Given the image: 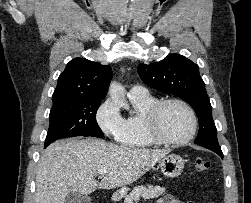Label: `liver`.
Here are the masks:
<instances>
[{"instance_id":"1","label":"liver","mask_w":251,"mask_h":203,"mask_svg":"<svg viewBox=\"0 0 251 203\" xmlns=\"http://www.w3.org/2000/svg\"><path fill=\"white\" fill-rule=\"evenodd\" d=\"M169 152L129 148L95 138L54 142L38 163L35 203H64L70 192L88 195L97 188L125 187L141 178ZM101 168L109 172L98 182L95 175Z\"/></svg>"}]
</instances>
